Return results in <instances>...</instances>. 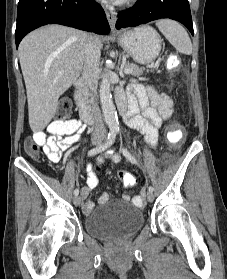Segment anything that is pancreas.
<instances>
[{
	"label": "pancreas",
	"instance_id": "obj_1",
	"mask_svg": "<svg viewBox=\"0 0 227 279\" xmlns=\"http://www.w3.org/2000/svg\"><path fill=\"white\" fill-rule=\"evenodd\" d=\"M124 67L131 68L132 72L130 74L133 76H136V77L142 75L145 70L143 67H139L138 65H135V64L129 63V62H125ZM155 67H156V65H154V64L150 66V68H155Z\"/></svg>",
	"mask_w": 227,
	"mask_h": 279
}]
</instances>
